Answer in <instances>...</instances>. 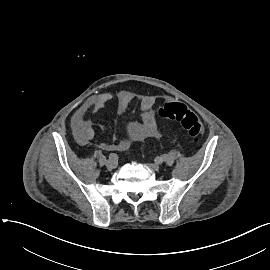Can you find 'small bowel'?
I'll return each mask as SVG.
<instances>
[{"label": "small bowel", "mask_w": 270, "mask_h": 270, "mask_svg": "<svg viewBox=\"0 0 270 270\" xmlns=\"http://www.w3.org/2000/svg\"><path fill=\"white\" fill-rule=\"evenodd\" d=\"M113 100L109 92H102L89 98L73 115L71 126L77 141L87 144L95 140L93 124L88 114H94L104 109ZM157 98L145 96L140 101V121L131 120L126 124L124 137L117 144L97 142L104 150H122L128 148L134 142L146 139H159L161 132L153 111ZM131 103V95L128 92H120L117 96V113L123 115Z\"/></svg>", "instance_id": "small-bowel-1"}]
</instances>
